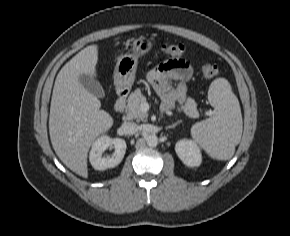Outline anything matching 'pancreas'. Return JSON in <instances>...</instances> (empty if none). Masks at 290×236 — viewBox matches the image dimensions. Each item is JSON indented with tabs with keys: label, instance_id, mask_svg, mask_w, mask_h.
<instances>
[{
	"label": "pancreas",
	"instance_id": "obj_1",
	"mask_svg": "<svg viewBox=\"0 0 290 236\" xmlns=\"http://www.w3.org/2000/svg\"><path fill=\"white\" fill-rule=\"evenodd\" d=\"M146 103V97L141 93L140 89H136L130 94L125 112L128 119H135L137 121L146 120L148 114L142 110V105ZM178 111H183L190 118H198L199 112L197 104L192 98H188L186 102L178 108Z\"/></svg>",
	"mask_w": 290,
	"mask_h": 236
}]
</instances>
